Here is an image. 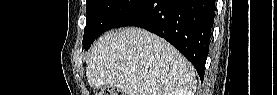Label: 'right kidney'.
Listing matches in <instances>:
<instances>
[{
    "mask_svg": "<svg viewBox=\"0 0 277 95\" xmlns=\"http://www.w3.org/2000/svg\"><path fill=\"white\" fill-rule=\"evenodd\" d=\"M173 95H182L183 93H178L177 91L175 93H172Z\"/></svg>",
    "mask_w": 277,
    "mask_h": 95,
    "instance_id": "1",
    "label": "right kidney"
}]
</instances>
